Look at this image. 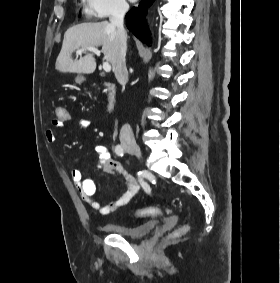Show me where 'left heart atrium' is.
Here are the masks:
<instances>
[{
    "instance_id": "1",
    "label": "left heart atrium",
    "mask_w": 280,
    "mask_h": 283,
    "mask_svg": "<svg viewBox=\"0 0 280 283\" xmlns=\"http://www.w3.org/2000/svg\"><path fill=\"white\" fill-rule=\"evenodd\" d=\"M130 1L135 2L136 0H130Z\"/></svg>"
}]
</instances>
